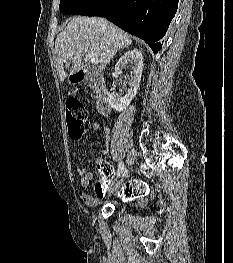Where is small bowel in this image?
I'll use <instances>...</instances> for the list:
<instances>
[{
    "mask_svg": "<svg viewBox=\"0 0 233 263\" xmlns=\"http://www.w3.org/2000/svg\"><path fill=\"white\" fill-rule=\"evenodd\" d=\"M91 129L93 131H102L103 132L105 141H104V145L102 148V152L104 154H107L109 151V142H110V130H109L108 126L104 123H100V122L95 121L92 123ZM95 162H96V165H97V168L99 171H113L112 168L110 167V165L107 164L103 158L98 157ZM78 174L80 176V184L83 188H87L90 185V183L92 182V180L94 179V173L91 172L90 170H88L86 167L79 168ZM113 177H114V175H113ZM79 194H80V198L82 199V201L89 207L96 206L99 202V198H102L105 196V195L93 196V195H90V194L85 193L83 191H81Z\"/></svg>",
    "mask_w": 233,
    "mask_h": 263,
    "instance_id": "small-bowel-1",
    "label": "small bowel"
}]
</instances>
